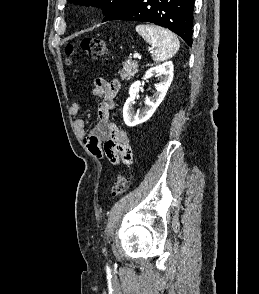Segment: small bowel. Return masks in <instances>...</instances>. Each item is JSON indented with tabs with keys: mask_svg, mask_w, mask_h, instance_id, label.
Listing matches in <instances>:
<instances>
[{
	"mask_svg": "<svg viewBox=\"0 0 259 294\" xmlns=\"http://www.w3.org/2000/svg\"><path fill=\"white\" fill-rule=\"evenodd\" d=\"M120 86L117 80L96 79L91 94L100 100L97 108V122L90 130H87L85 121L76 118L73 121V129L95 157H107L112 164L117 165L122 162L128 165L133 160L128 134L110 121V112L115 108V97ZM69 112L72 116H77L80 105L71 104Z\"/></svg>",
	"mask_w": 259,
	"mask_h": 294,
	"instance_id": "1",
	"label": "small bowel"
}]
</instances>
